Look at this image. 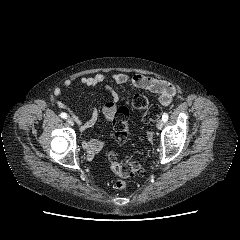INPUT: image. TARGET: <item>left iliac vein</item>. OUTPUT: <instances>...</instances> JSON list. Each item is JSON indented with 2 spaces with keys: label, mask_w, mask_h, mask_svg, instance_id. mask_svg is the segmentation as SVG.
Listing matches in <instances>:
<instances>
[{
  "label": "left iliac vein",
  "mask_w": 240,
  "mask_h": 240,
  "mask_svg": "<svg viewBox=\"0 0 240 240\" xmlns=\"http://www.w3.org/2000/svg\"><path fill=\"white\" fill-rule=\"evenodd\" d=\"M163 125H164V121L159 119L157 121L156 127H157L158 130H161L163 128Z\"/></svg>",
  "instance_id": "4c4485c4"
}]
</instances>
